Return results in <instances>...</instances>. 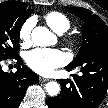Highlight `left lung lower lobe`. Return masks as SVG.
<instances>
[{
    "instance_id": "obj_1",
    "label": "left lung lower lobe",
    "mask_w": 108,
    "mask_h": 108,
    "mask_svg": "<svg viewBox=\"0 0 108 108\" xmlns=\"http://www.w3.org/2000/svg\"><path fill=\"white\" fill-rule=\"evenodd\" d=\"M80 67L82 76L59 80L61 92L47 99L48 108H97L100 105L108 91V64L87 63ZM74 68L67 66L66 70ZM72 91H77L74 99L68 96Z\"/></svg>"
}]
</instances>
